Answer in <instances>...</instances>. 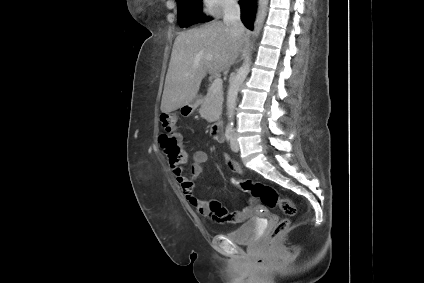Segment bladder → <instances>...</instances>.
Wrapping results in <instances>:
<instances>
[{"label": "bladder", "mask_w": 424, "mask_h": 283, "mask_svg": "<svg viewBox=\"0 0 424 283\" xmlns=\"http://www.w3.org/2000/svg\"><path fill=\"white\" fill-rule=\"evenodd\" d=\"M260 234V226L256 219H251L238 227L237 229L226 234V237L237 244L248 245L253 243Z\"/></svg>", "instance_id": "bladder-1"}]
</instances>
